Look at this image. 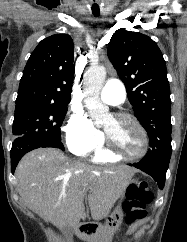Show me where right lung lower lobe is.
Instances as JSON below:
<instances>
[{
  "mask_svg": "<svg viewBox=\"0 0 187 242\" xmlns=\"http://www.w3.org/2000/svg\"><path fill=\"white\" fill-rule=\"evenodd\" d=\"M53 147L65 150L60 140L36 137H17L11 148V171L14 173L19 160L29 151L37 148Z\"/></svg>",
  "mask_w": 187,
  "mask_h": 242,
  "instance_id": "right-lung-lower-lobe-1",
  "label": "right lung lower lobe"
}]
</instances>
